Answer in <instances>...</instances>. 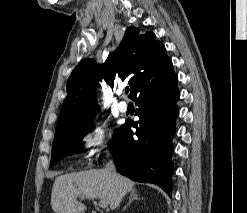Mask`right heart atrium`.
Listing matches in <instances>:
<instances>
[{"instance_id": "right-heart-atrium-1", "label": "right heart atrium", "mask_w": 247, "mask_h": 213, "mask_svg": "<svg viewBox=\"0 0 247 213\" xmlns=\"http://www.w3.org/2000/svg\"><path fill=\"white\" fill-rule=\"evenodd\" d=\"M108 141V132L104 125L90 124L81 134V155L92 160L102 151Z\"/></svg>"}]
</instances>
